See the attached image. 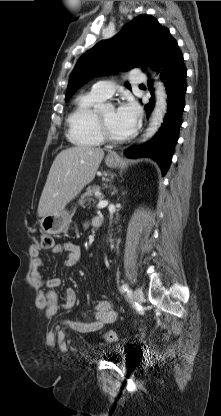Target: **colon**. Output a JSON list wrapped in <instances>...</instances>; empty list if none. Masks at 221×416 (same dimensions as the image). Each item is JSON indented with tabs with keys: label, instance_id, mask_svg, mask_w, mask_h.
<instances>
[{
	"label": "colon",
	"instance_id": "1",
	"mask_svg": "<svg viewBox=\"0 0 221 416\" xmlns=\"http://www.w3.org/2000/svg\"><path fill=\"white\" fill-rule=\"evenodd\" d=\"M54 246V238L49 234H43L40 239V247L43 249H51ZM104 339L108 342H114L117 339L114 331H107Z\"/></svg>",
	"mask_w": 221,
	"mask_h": 416
}]
</instances>
